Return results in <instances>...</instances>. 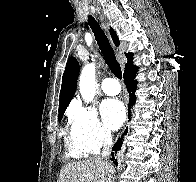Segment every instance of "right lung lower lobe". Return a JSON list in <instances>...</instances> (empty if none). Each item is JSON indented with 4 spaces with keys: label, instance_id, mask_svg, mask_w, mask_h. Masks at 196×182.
Returning a JSON list of instances; mask_svg holds the SVG:
<instances>
[{
    "label": "right lung lower lobe",
    "instance_id": "obj_1",
    "mask_svg": "<svg viewBox=\"0 0 196 182\" xmlns=\"http://www.w3.org/2000/svg\"><path fill=\"white\" fill-rule=\"evenodd\" d=\"M137 70H138V67H136L132 64H129L125 68V71H124V81H125V84H126L129 96H130L129 105H128V117L129 118H130V113H131V107L135 104V101H136V96H135L134 92L136 90L137 81H135L134 78H135ZM126 132H127V130L124 133H126ZM122 139H123V137L119 138L112 148L113 152L111 153L112 154L111 160L113 161V163L115 165H118V162H117L116 156H114V155L117 153V151H119L121 149Z\"/></svg>",
    "mask_w": 196,
    "mask_h": 182
}]
</instances>
